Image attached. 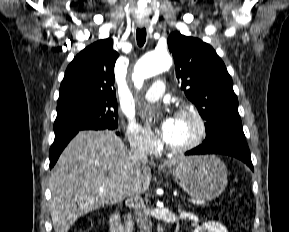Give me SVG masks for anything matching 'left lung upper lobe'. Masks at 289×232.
I'll use <instances>...</instances> for the list:
<instances>
[{
  "instance_id": "5c2ea615",
  "label": "left lung upper lobe",
  "mask_w": 289,
  "mask_h": 232,
  "mask_svg": "<svg viewBox=\"0 0 289 232\" xmlns=\"http://www.w3.org/2000/svg\"><path fill=\"white\" fill-rule=\"evenodd\" d=\"M168 48L175 60L176 76L182 80L181 89L206 121L202 144L245 138L232 79L215 50L180 32L169 35Z\"/></svg>"
}]
</instances>
